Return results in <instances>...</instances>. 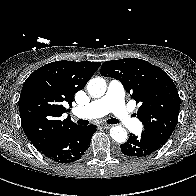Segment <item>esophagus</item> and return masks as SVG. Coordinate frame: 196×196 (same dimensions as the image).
Here are the masks:
<instances>
[{
    "mask_svg": "<svg viewBox=\"0 0 196 196\" xmlns=\"http://www.w3.org/2000/svg\"><path fill=\"white\" fill-rule=\"evenodd\" d=\"M101 126H102V128L108 129V128H110L112 125H111V124H105V123H103V124H101Z\"/></svg>",
    "mask_w": 196,
    "mask_h": 196,
    "instance_id": "esophagus-1",
    "label": "esophagus"
}]
</instances>
